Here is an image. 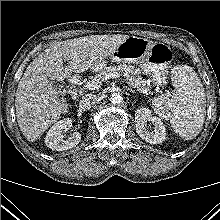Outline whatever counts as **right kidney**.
I'll list each match as a JSON object with an SVG mask.
<instances>
[{"label": "right kidney", "instance_id": "right-kidney-1", "mask_svg": "<svg viewBox=\"0 0 220 220\" xmlns=\"http://www.w3.org/2000/svg\"><path fill=\"white\" fill-rule=\"evenodd\" d=\"M72 127V120L64 118L56 122L47 132L45 143L46 145L56 151H65L71 149L81 142V134L73 132L71 137L65 139L63 131H67Z\"/></svg>", "mask_w": 220, "mask_h": 220}]
</instances>
